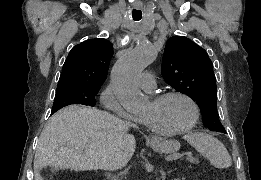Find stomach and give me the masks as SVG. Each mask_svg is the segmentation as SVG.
Segmentation results:
<instances>
[{
  "label": "stomach",
  "mask_w": 261,
  "mask_h": 180,
  "mask_svg": "<svg viewBox=\"0 0 261 180\" xmlns=\"http://www.w3.org/2000/svg\"><path fill=\"white\" fill-rule=\"evenodd\" d=\"M154 151L161 154H172L180 149V143L176 140H162L158 139L151 143Z\"/></svg>",
  "instance_id": "obj_1"
}]
</instances>
